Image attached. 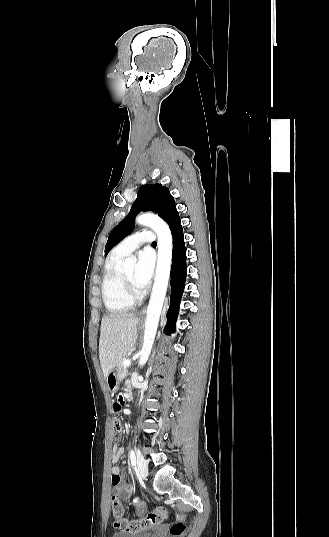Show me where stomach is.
<instances>
[{"instance_id":"1","label":"stomach","mask_w":329,"mask_h":537,"mask_svg":"<svg viewBox=\"0 0 329 537\" xmlns=\"http://www.w3.org/2000/svg\"><path fill=\"white\" fill-rule=\"evenodd\" d=\"M106 380H107V385L110 391H115L118 388L120 379L118 378L114 370L110 372Z\"/></svg>"}]
</instances>
